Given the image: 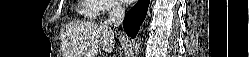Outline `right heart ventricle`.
Here are the masks:
<instances>
[{
	"mask_svg": "<svg viewBox=\"0 0 249 57\" xmlns=\"http://www.w3.org/2000/svg\"><path fill=\"white\" fill-rule=\"evenodd\" d=\"M79 11L85 17L94 19L98 12V3L96 0H84L83 4L79 7Z\"/></svg>",
	"mask_w": 249,
	"mask_h": 57,
	"instance_id": "e07e8e85",
	"label": "right heart ventricle"
}]
</instances>
